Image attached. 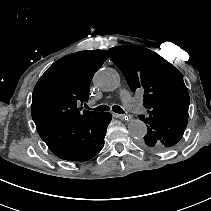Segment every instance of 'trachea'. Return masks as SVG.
Returning a JSON list of instances; mask_svg holds the SVG:
<instances>
[{"label": "trachea", "mask_w": 211, "mask_h": 211, "mask_svg": "<svg viewBox=\"0 0 211 211\" xmlns=\"http://www.w3.org/2000/svg\"><path fill=\"white\" fill-rule=\"evenodd\" d=\"M95 111H108L110 110V107L107 105H100L96 108H94ZM112 111H114L115 113H119V114H123L124 111L121 107H119L118 105H113L112 106Z\"/></svg>", "instance_id": "3493384b"}]
</instances>
